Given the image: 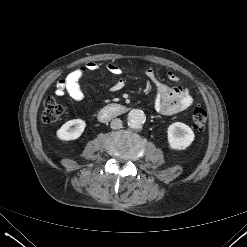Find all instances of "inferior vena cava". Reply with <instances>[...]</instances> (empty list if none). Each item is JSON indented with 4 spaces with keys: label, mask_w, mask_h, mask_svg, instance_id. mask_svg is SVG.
<instances>
[{
    "label": "inferior vena cava",
    "mask_w": 247,
    "mask_h": 247,
    "mask_svg": "<svg viewBox=\"0 0 247 247\" xmlns=\"http://www.w3.org/2000/svg\"><path fill=\"white\" fill-rule=\"evenodd\" d=\"M112 129H120L122 127V121L119 118L113 119L110 123Z\"/></svg>",
    "instance_id": "1"
}]
</instances>
